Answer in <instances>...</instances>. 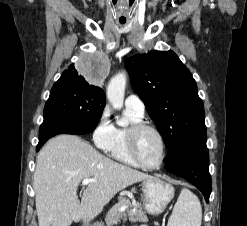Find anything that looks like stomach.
Listing matches in <instances>:
<instances>
[{
    "instance_id": "obj_1",
    "label": "stomach",
    "mask_w": 247,
    "mask_h": 226,
    "mask_svg": "<svg viewBox=\"0 0 247 226\" xmlns=\"http://www.w3.org/2000/svg\"><path fill=\"white\" fill-rule=\"evenodd\" d=\"M142 192L145 210L151 215L161 214L174 197V187L158 177L144 180L142 182Z\"/></svg>"
}]
</instances>
